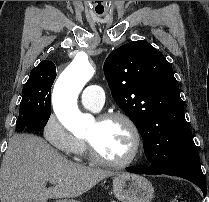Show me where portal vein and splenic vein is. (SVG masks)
<instances>
[{
    "instance_id": "1",
    "label": "portal vein and splenic vein",
    "mask_w": 209,
    "mask_h": 202,
    "mask_svg": "<svg viewBox=\"0 0 209 202\" xmlns=\"http://www.w3.org/2000/svg\"><path fill=\"white\" fill-rule=\"evenodd\" d=\"M49 182H50L51 184H57V181L54 180V179H49Z\"/></svg>"
}]
</instances>
